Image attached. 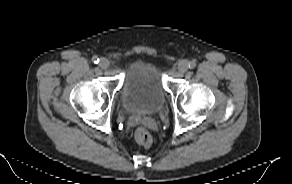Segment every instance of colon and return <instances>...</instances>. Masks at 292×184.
I'll list each match as a JSON object with an SVG mask.
<instances>
[{
	"label": "colon",
	"instance_id": "obj_1",
	"mask_svg": "<svg viewBox=\"0 0 292 184\" xmlns=\"http://www.w3.org/2000/svg\"><path fill=\"white\" fill-rule=\"evenodd\" d=\"M134 137L136 142L142 146H150L153 142L151 133L144 127L137 128Z\"/></svg>",
	"mask_w": 292,
	"mask_h": 184
}]
</instances>
